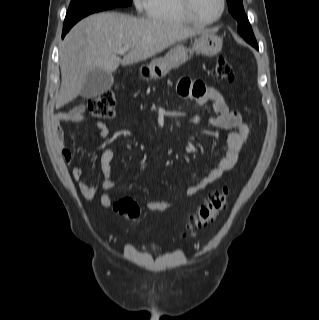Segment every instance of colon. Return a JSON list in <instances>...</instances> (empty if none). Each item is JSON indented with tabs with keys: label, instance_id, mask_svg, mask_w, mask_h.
<instances>
[{
	"label": "colon",
	"instance_id": "1",
	"mask_svg": "<svg viewBox=\"0 0 319 320\" xmlns=\"http://www.w3.org/2000/svg\"><path fill=\"white\" fill-rule=\"evenodd\" d=\"M215 78L217 80L228 81L234 78L233 68L225 56L220 55L217 58ZM115 104L116 99L114 92L104 91L90 99L87 106L88 113L96 118L111 119L115 114ZM228 197L229 192L227 189H222L211 194L199 209L189 217L187 230L203 229L211 225L220 212L226 208ZM113 208L130 220H138L141 215L140 206L130 197L117 200L113 204Z\"/></svg>",
	"mask_w": 319,
	"mask_h": 320
}]
</instances>
